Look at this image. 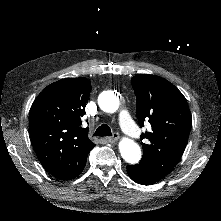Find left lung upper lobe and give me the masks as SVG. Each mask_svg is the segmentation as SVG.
Masks as SVG:
<instances>
[{"mask_svg":"<svg viewBox=\"0 0 221 221\" xmlns=\"http://www.w3.org/2000/svg\"><path fill=\"white\" fill-rule=\"evenodd\" d=\"M136 115L142 127L148 120L152 132H145L150 144H142L144 163L167 175L180 160L186 147L192 116L184 95L166 79L139 74L131 79Z\"/></svg>","mask_w":221,"mask_h":221,"instance_id":"left-lung-upper-lobe-1","label":"left lung upper lobe"}]
</instances>
